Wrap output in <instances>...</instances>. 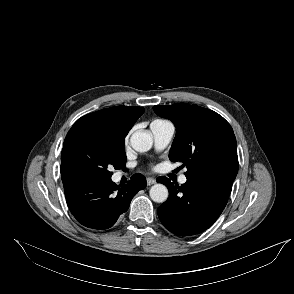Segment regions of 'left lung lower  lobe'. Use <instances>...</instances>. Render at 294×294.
I'll list each match as a JSON object with an SVG mask.
<instances>
[{
	"label": "left lung lower lobe",
	"mask_w": 294,
	"mask_h": 294,
	"mask_svg": "<svg viewBox=\"0 0 294 294\" xmlns=\"http://www.w3.org/2000/svg\"><path fill=\"white\" fill-rule=\"evenodd\" d=\"M236 175L237 172L227 166L201 176L187 177L181 186L159 177L157 181L169 190V198L158 208L160 221L179 236L205 231L225 208Z\"/></svg>",
	"instance_id": "0a47b994"
}]
</instances>
